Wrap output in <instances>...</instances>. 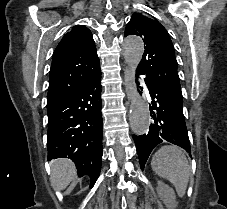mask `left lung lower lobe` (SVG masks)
<instances>
[{
  "label": "left lung lower lobe",
  "instance_id": "left-lung-lower-lobe-1",
  "mask_svg": "<svg viewBox=\"0 0 227 209\" xmlns=\"http://www.w3.org/2000/svg\"><path fill=\"white\" fill-rule=\"evenodd\" d=\"M147 86L156 113L151 111L153 123L150 125L148 133L133 136L142 170L154 147L165 141L178 145L189 154L191 153L182 109L183 100L149 84Z\"/></svg>",
  "mask_w": 227,
  "mask_h": 209
}]
</instances>
